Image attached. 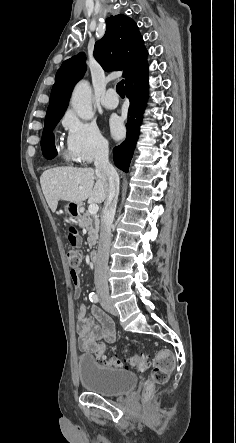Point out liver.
I'll return each mask as SVG.
<instances>
[{
  "instance_id": "6515ba94",
  "label": "liver",
  "mask_w": 236,
  "mask_h": 443,
  "mask_svg": "<svg viewBox=\"0 0 236 443\" xmlns=\"http://www.w3.org/2000/svg\"><path fill=\"white\" fill-rule=\"evenodd\" d=\"M40 184L52 212L56 211L59 200L81 205L86 199L94 204L104 202L107 197L105 182L92 168L48 169L42 173Z\"/></svg>"
}]
</instances>
